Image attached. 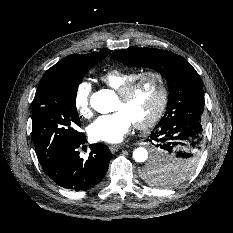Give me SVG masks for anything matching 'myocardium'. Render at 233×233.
Segmentation results:
<instances>
[{
    "label": "myocardium",
    "mask_w": 233,
    "mask_h": 233,
    "mask_svg": "<svg viewBox=\"0 0 233 233\" xmlns=\"http://www.w3.org/2000/svg\"><path fill=\"white\" fill-rule=\"evenodd\" d=\"M153 78L158 86V102L151 115L143 121L135 122V127L140 130H146L154 126L163 116L169 100V91L165 76L157 70H144L137 73L131 79L126 81L118 90L117 96L126 99L129 97L135 86L144 78Z\"/></svg>",
    "instance_id": "1"
}]
</instances>
